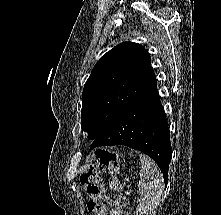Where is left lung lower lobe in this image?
Returning a JSON list of instances; mask_svg holds the SVG:
<instances>
[{
    "label": "left lung lower lobe",
    "mask_w": 221,
    "mask_h": 215,
    "mask_svg": "<svg viewBox=\"0 0 221 215\" xmlns=\"http://www.w3.org/2000/svg\"><path fill=\"white\" fill-rule=\"evenodd\" d=\"M169 139L168 124L156 83L94 139L90 150L113 145L137 149L157 163L167 185L172 153Z\"/></svg>",
    "instance_id": "obj_1"
}]
</instances>
